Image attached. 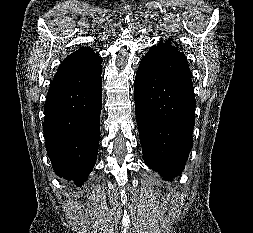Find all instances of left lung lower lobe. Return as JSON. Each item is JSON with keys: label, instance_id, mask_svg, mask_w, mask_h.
<instances>
[{"label": "left lung lower lobe", "instance_id": "left-lung-lower-lobe-1", "mask_svg": "<svg viewBox=\"0 0 253 233\" xmlns=\"http://www.w3.org/2000/svg\"><path fill=\"white\" fill-rule=\"evenodd\" d=\"M136 119L147 166L167 180L184 169L193 146L195 97L187 58L177 46H153L134 86Z\"/></svg>", "mask_w": 253, "mask_h": 233}]
</instances>
